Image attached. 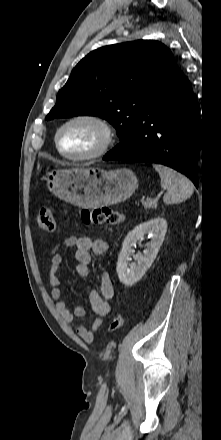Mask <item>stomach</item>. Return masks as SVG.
Instances as JSON below:
<instances>
[{"label": "stomach", "instance_id": "0dacf381", "mask_svg": "<svg viewBox=\"0 0 221 440\" xmlns=\"http://www.w3.org/2000/svg\"><path fill=\"white\" fill-rule=\"evenodd\" d=\"M46 181L55 196L86 209L121 203L138 188L137 176L126 168L60 169L48 173Z\"/></svg>", "mask_w": 221, "mask_h": 440}]
</instances>
